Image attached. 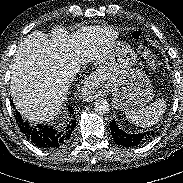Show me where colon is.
I'll return each mask as SVG.
<instances>
[{
    "label": "colon",
    "mask_w": 183,
    "mask_h": 183,
    "mask_svg": "<svg viewBox=\"0 0 183 183\" xmlns=\"http://www.w3.org/2000/svg\"><path fill=\"white\" fill-rule=\"evenodd\" d=\"M139 36H140L139 32H137V31H133V32H132V37H133L134 39H138ZM144 54H145V56L147 57V59H148L152 64H154L155 54H154L151 50H148V49H146V50L144 51Z\"/></svg>",
    "instance_id": "5ec220e1"
}]
</instances>
